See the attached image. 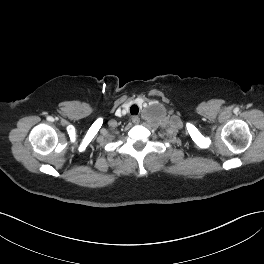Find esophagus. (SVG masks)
<instances>
[{"label":"esophagus","instance_id":"1","mask_svg":"<svg viewBox=\"0 0 264 264\" xmlns=\"http://www.w3.org/2000/svg\"><path fill=\"white\" fill-rule=\"evenodd\" d=\"M132 122H133L134 124H139V122H140V118H139L138 116H133V117H132Z\"/></svg>","mask_w":264,"mask_h":264}]
</instances>
